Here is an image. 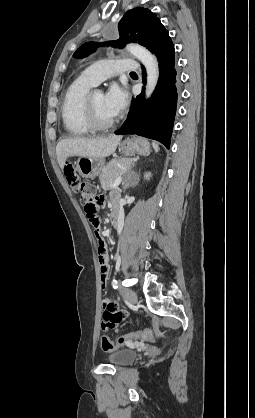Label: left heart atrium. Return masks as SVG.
<instances>
[{"label": "left heart atrium", "instance_id": "1", "mask_svg": "<svg viewBox=\"0 0 255 418\" xmlns=\"http://www.w3.org/2000/svg\"><path fill=\"white\" fill-rule=\"evenodd\" d=\"M128 104L127 92L118 85H112L104 95V105L112 117L119 115Z\"/></svg>", "mask_w": 255, "mask_h": 418}]
</instances>
